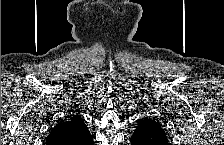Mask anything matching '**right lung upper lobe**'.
<instances>
[{
    "label": "right lung upper lobe",
    "instance_id": "obj_1",
    "mask_svg": "<svg viewBox=\"0 0 224 145\" xmlns=\"http://www.w3.org/2000/svg\"><path fill=\"white\" fill-rule=\"evenodd\" d=\"M93 138L84 121L77 115L53 127L46 145H89Z\"/></svg>",
    "mask_w": 224,
    "mask_h": 145
}]
</instances>
